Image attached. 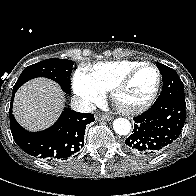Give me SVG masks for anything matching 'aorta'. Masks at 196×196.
<instances>
[{
	"mask_svg": "<svg viewBox=\"0 0 196 196\" xmlns=\"http://www.w3.org/2000/svg\"><path fill=\"white\" fill-rule=\"evenodd\" d=\"M114 131L119 135H127L131 130L130 122L125 118H117L113 122Z\"/></svg>",
	"mask_w": 196,
	"mask_h": 196,
	"instance_id": "762f6f07",
	"label": "aorta"
}]
</instances>
